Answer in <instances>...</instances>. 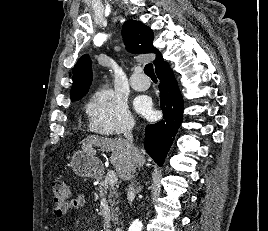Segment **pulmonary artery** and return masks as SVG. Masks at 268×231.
Instances as JSON below:
<instances>
[{
    "label": "pulmonary artery",
    "mask_w": 268,
    "mask_h": 231,
    "mask_svg": "<svg viewBox=\"0 0 268 231\" xmlns=\"http://www.w3.org/2000/svg\"><path fill=\"white\" fill-rule=\"evenodd\" d=\"M131 86L137 91H145L150 86V80L141 73H136L131 78Z\"/></svg>",
    "instance_id": "1"
}]
</instances>
